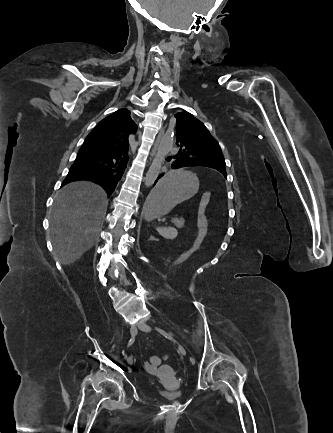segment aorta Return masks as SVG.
<instances>
[{"instance_id": "aorta-1", "label": "aorta", "mask_w": 333, "mask_h": 433, "mask_svg": "<svg viewBox=\"0 0 333 433\" xmlns=\"http://www.w3.org/2000/svg\"><path fill=\"white\" fill-rule=\"evenodd\" d=\"M172 143H173V139L170 135H164L161 138L157 153L152 161V164L150 165V168L145 178V185L147 187L153 185V183L155 182L160 172L162 163L166 155L169 153V151L172 148Z\"/></svg>"}]
</instances>
